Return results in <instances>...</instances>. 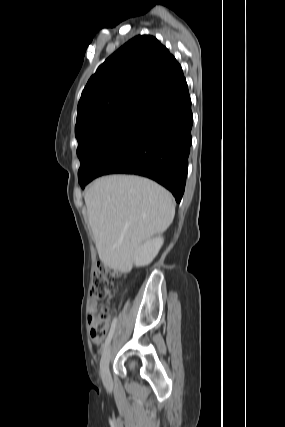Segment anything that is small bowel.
Instances as JSON below:
<instances>
[{"label":"small bowel","mask_w":285,"mask_h":427,"mask_svg":"<svg viewBox=\"0 0 285 427\" xmlns=\"http://www.w3.org/2000/svg\"><path fill=\"white\" fill-rule=\"evenodd\" d=\"M97 307V303L94 300L89 301L88 308L90 311L94 310Z\"/></svg>","instance_id":"c3829d8e"}]
</instances>
